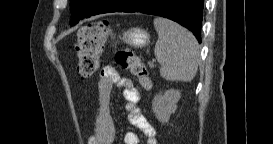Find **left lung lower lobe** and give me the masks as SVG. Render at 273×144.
Returning <instances> with one entry per match:
<instances>
[{"label":"left lung lower lobe","mask_w":273,"mask_h":144,"mask_svg":"<svg viewBox=\"0 0 273 144\" xmlns=\"http://www.w3.org/2000/svg\"><path fill=\"white\" fill-rule=\"evenodd\" d=\"M88 0L85 1V3ZM204 0H95L91 9L72 16L70 25L109 12H140L171 19L193 32L201 43Z\"/></svg>","instance_id":"1"}]
</instances>
